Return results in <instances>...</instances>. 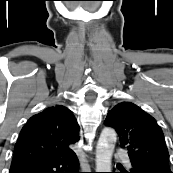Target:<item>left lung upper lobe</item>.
Segmentation results:
<instances>
[{
	"mask_svg": "<svg viewBox=\"0 0 173 173\" xmlns=\"http://www.w3.org/2000/svg\"><path fill=\"white\" fill-rule=\"evenodd\" d=\"M104 123L116 130L131 163L173 173L163 132L151 115L131 102H121L108 112Z\"/></svg>",
	"mask_w": 173,
	"mask_h": 173,
	"instance_id": "5c2ea615",
	"label": "left lung upper lobe"
}]
</instances>
